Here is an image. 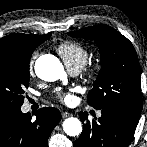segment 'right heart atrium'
<instances>
[{
	"mask_svg": "<svg viewBox=\"0 0 147 147\" xmlns=\"http://www.w3.org/2000/svg\"><path fill=\"white\" fill-rule=\"evenodd\" d=\"M35 59H36V54H34L30 60V65H29L30 72H33V66H34Z\"/></svg>",
	"mask_w": 147,
	"mask_h": 147,
	"instance_id": "right-heart-atrium-1",
	"label": "right heart atrium"
}]
</instances>
